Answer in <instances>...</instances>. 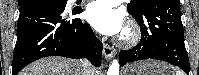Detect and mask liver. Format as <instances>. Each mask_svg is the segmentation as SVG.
I'll list each match as a JSON object with an SVG mask.
<instances>
[{
    "mask_svg": "<svg viewBox=\"0 0 199 75\" xmlns=\"http://www.w3.org/2000/svg\"><path fill=\"white\" fill-rule=\"evenodd\" d=\"M95 74V72H94ZM93 74V75H94ZM19 75H87L78 60L63 57H47L24 68Z\"/></svg>",
    "mask_w": 199,
    "mask_h": 75,
    "instance_id": "liver-1",
    "label": "liver"
}]
</instances>
